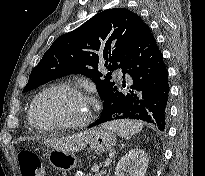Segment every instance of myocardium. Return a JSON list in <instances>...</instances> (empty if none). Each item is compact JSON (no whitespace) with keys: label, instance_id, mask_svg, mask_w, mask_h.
<instances>
[{"label":"myocardium","instance_id":"myocardium-1","mask_svg":"<svg viewBox=\"0 0 205 176\" xmlns=\"http://www.w3.org/2000/svg\"><path fill=\"white\" fill-rule=\"evenodd\" d=\"M57 90L69 91V92H72L78 95L86 105L85 114L81 119L75 122H64V123H57V124H50V125H40L36 121L35 116H34L37 104L40 101V99L43 98L45 95L53 91H57ZM92 112H93V104H92L90 97L79 86L73 83H69V82H62V83L53 84L37 94V96L33 99L32 104L30 106V109L28 112V118H29L30 124L39 131L76 130V129H80L86 126L91 121Z\"/></svg>","mask_w":205,"mask_h":176}]
</instances>
